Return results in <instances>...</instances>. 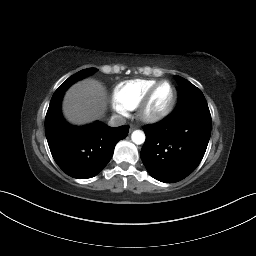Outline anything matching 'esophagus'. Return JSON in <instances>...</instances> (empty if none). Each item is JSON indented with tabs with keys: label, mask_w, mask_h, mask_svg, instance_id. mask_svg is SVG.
<instances>
[{
	"label": "esophagus",
	"mask_w": 256,
	"mask_h": 256,
	"mask_svg": "<svg viewBox=\"0 0 256 256\" xmlns=\"http://www.w3.org/2000/svg\"><path fill=\"white\" fill-rule=\"evenodd\" d=\"M135 129H136V126L130 125V128H129V131H130V132H132V131L135 130Z\"/></svg>",
	"instance_id": "esophagus-1"
}]
</instances>
